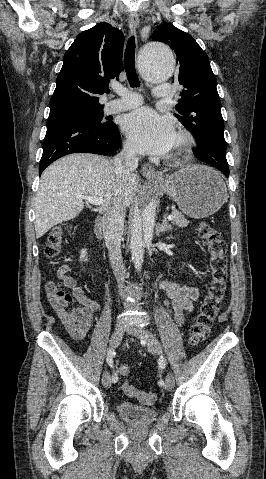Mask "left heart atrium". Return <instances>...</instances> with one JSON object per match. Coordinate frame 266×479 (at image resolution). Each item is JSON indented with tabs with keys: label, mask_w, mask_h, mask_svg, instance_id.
<instances>
[{
	"label": "left heart atrium",
	"mask_w": 266,
	"mask_h": 479,
	"mask_svg": "<svg viewBox=\"0 0 266 479\" xmlns=\"http://www.w3.org/2000/svg\"><path fill=\"white\" fill-rule=\"evenodd\" d=\"M122 128L139 151L156 155L168 153L176 138L171 120L147 107L127 114Z\"/></svg>",
	"instance_id": "left-heart-atrium-1"
}]
</instances>
